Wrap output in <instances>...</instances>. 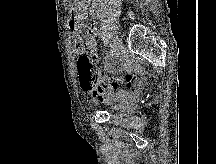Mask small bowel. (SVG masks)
Masks as SVG:
<instances>
[{
    "mask_svg": "<svg viewBox=\"0 0 216 164\" xmlns=\"http://www.w3.org/2000/svg\"><path fill=\"white\" fill-rule=\"evenodd\" d=\"M96 37V26L89 24L82 42L84 43V47L90 50L92 59L97 57ZM107 69L111 72L122 71L125 77H103L100 86L91 92L93 102L95 104H108L117 110H128L133 105L139 93L140 83L136 78L135 69L127 60L121 61L117 68L108 63ZM124 83L126 84V88L121 87Z\"/></svg>",
    "mask_w": 216,
    "mask_h": 164,
    "instance_id": "small-bowel-1",
    "label": "small bowel"
}]
</instances>
